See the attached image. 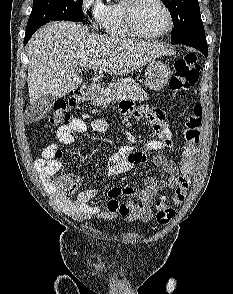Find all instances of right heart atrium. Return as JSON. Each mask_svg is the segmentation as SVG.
I'll return each mask as SVG.
<instances>
[{
    "instance_id": "obj_1",
    "label": "right heart atrium",
    "mask_w": 233,
    "mask_h": 294,
    "mask_svg": "<svg viewBox=\"0 0 233 294\" xmlns=\"http://www.w3.org/2000/svg\"><path fill=\"white\" fill-rule=\"evenodd\" d=\"M105 7L103 0H81L83 14L90 16L96 25H100Z\"/></svg>"
}]
</instances>
